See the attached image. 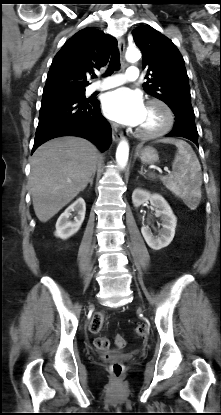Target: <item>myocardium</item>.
I'll list each match as a JSON object with an SVG mask.
<instances>
[{
  "label": "myocardium",
  "instance_id": "f54148a6",
  "mask_svg": "<svg viewBox=\"0 0 221 415\" xmlns=\"http://www.w3.org/2000/svg\"><path fill=\"white\" fill-rule=\"evenodd\" d=\"M146 105H157L161 107L165 114V122L159 129L155 131L147 132V131H142L137 128L135 131L136 135L144 139H153V138H158L168 133L174 124V113L171 107L165 101L158 99V98H152L148 100Z\"/></svg>",
  "mask_w": 221,
  "mask_h": 415
}]
</instances>
